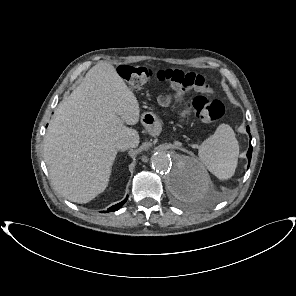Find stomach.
<instances>
[{
  "instance_id": "0dacf381",
  "label": "stomach",
  "mask_w": 296,
  "mask_h": 296,
  "mask_svg": "<svg viewBox=\"0 0 296 296\" xmlns=\"http://www.w3.org/2000/svg\"><path fill=\"white\" fill-rule=\"evenodd\" d=\"M142 123L149 132L153 134H158L160 132V122L153 113H144L142 115Z\"/></svg>"
}]
</instances>
